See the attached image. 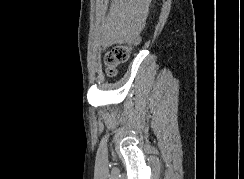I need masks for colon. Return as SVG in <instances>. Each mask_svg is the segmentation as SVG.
<instances>
[{"label":"colon","mask_w":244,"mask_h":179,"mask_svg":"<svg viewBox=\"0 0 244 179\" xmlns=\"http://www.w3.org/2000/svg\"><path fill=\"white\" fill-rule=\"evenodd\" d=\"M129 56L126 46L115 45L105 53V63L107 65V74L114 76L116 66L127 61Z\"/></svg>","instance_id":"obj_1"}]
</instances>
